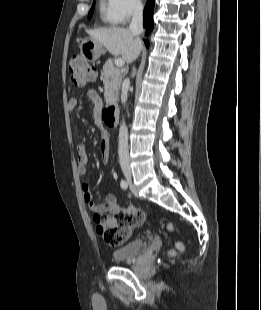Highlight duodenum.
<instances>
[{
	"label": "duodenum",
	"instance_id": "obj_1",
	"mask_svg": "<svg viewBox=\"0 0 261 310\" xmlns=\"http://www.w3.org/2000/svg\"><path fill=\"white\" fill-rule=\"evenodd\" d=\"M118 108L116 105H108L102 112V119L107 126L113 127L117 122Z\"/></svg>",
	"mask_w": 261,
	"mask_h": 310
}]
</instances>
